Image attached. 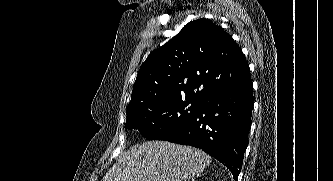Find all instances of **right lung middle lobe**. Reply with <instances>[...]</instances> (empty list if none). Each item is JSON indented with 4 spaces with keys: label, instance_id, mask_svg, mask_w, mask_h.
Returning <instances> with one entry per match:
<instances>
[{
    "label": "right lung middle lobe",
    "instance_id": "1",
    "mask_svg": "<svg viewBox=\"0 0 333 181\" xmlns=\"http://www.w3.org/2000/svg\"><path fill=\"white\" fill-rule=\"evenodd\" d=\"M199 100L170 99L151 102L128 111L126 129H137L148 140H167L196 114Z\"/></svg>",
    "mask_w": 333,
    "mask_h": 181
}]
</instances>
